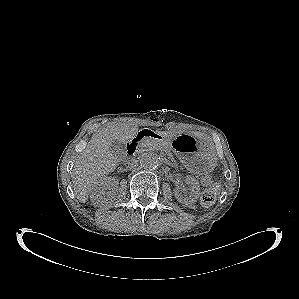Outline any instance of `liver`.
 Returning <instances> with one entry per match:
<instances>
[{"mask_svg":"<svg viewBox=\"0 0 299 299\" xmlns=\"http://www.w3.org/2000/svg\"><path fill=\"white\" fill-rule=\"evenodd\" d=\"M137 132L136 124L122 123L111 124L92 135L71 173L74 192L80 202L85 203L95 183L116 169L118 159L110 150L112 142L118 140L126 144L136 136ZM158 134L175 136L174 132L158 131Z\"/></svg>","mask_w":299,"mask_h":299,"instance_id":"1","label":"liver"}]
</instances>
